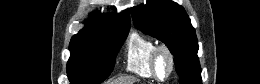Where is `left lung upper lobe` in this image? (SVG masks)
I'll return each mask as SVG.
<instances>
[{
    "mask_svg": "<svg viewBox=\"0 0 260 84\" xmlns=\"http://www.w3.org/2000/svg\"><path fill=\"white\" fill-rule=\"evenodd\" d=\"M137 29L161 40L174 55L180 84H202L195 30L183 7L171 0H149L130 9Z\"/></svg>",
    "mask_w": 260,
    "mask_h": 84,
    "instance_id": "1",
    "label": "left lung upper lobe"
}]
</instances>
